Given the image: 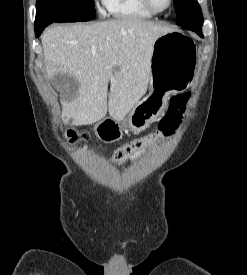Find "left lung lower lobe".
Instances as JSON below:
<instances>
[{
    "label": "left lung lower lobe",
    "mask_w": 247,
    "mask_h": 275,
    "mask_svg": "<svg viewBox=\"0 0 247 275\" xmlns=\"http://www.w3.org/2000/svg\"><path fill=\"white\" fill-rule=\"evenodd\" d=\"M187 30H191V31H194V32H196L200 37H204L203 36V34H202V32H201V30H195V29H187Z\"/></svg>",
    "instance_id": "obj_1"
}]
</instances>
